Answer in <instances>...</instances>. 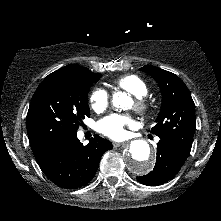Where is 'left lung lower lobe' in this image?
Masks as SVG:
<instances>
[{
  "mask_svg": "<svg viewBox=\"0 0 221 221\" xmlns=\"http://www.w3.org/2000/svg\"><path fill=\"white\" fill-rule=\"evenodd\" d=\"M186 158L172 144L160 140L157 144L156 164L153 171L147 175L137 177V180L148 186L163 184L180 171Z\"/></svg>",
  "mask_w": 221,
  "mask_h": 221,
  "instance_id": "1",
  "label": "left lung lower lobe"
}]
</instances>
